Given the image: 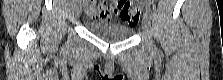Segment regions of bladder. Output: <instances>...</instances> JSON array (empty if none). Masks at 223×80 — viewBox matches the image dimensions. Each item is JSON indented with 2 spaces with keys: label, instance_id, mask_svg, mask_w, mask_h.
Returning a JSON list of instances; mask_svg holds the SVG:
<instances>
[{
  "label": "bladder",
  "instance_id": "bladder-1",
  "mask_svg": "<svg viewBox=\"0 0 223 80\" xmlns=\"http://www.w3.org/2000/svg\"><path fill=\"white\" fill-rule=\"evenodd\" d=\"M86 29L94 36L105 41H122L133 35V28L108 22L86 21Z\"/></svg>",
  "mask_w": 223,
  "mask_h": 80
}]
</instances>
